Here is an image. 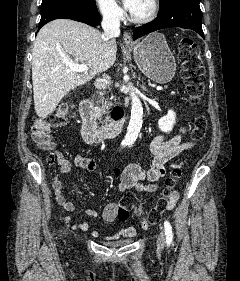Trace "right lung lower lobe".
Masks as SVG:
<instances>
[{
    "label": "right lung lower lobe",
    "mask_w": 240,
    "mask_h": 281,
    "mask_svg": "<svg viewBox=\"0 0 240 281\" xmlns=\"http://www.w3.org/2000/svg\"><path fill=\"white\" fill-rule=\"evenodd\" d=\"M59 18L72 19L90 26H96L100 22L101 16L97 9L91 11L72 6H58L41 13L39 29L46 23Z\"/></svg>",
    "instance_id": "1"
}]
</instances>
